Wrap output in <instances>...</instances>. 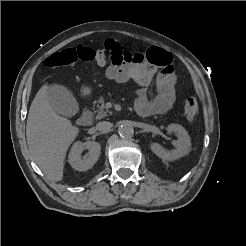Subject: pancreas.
Listing matches in <instances>:
<instances>
[{"instance_id": "pancreas-1", "label": "pancreas", "mask_w": 246, "mask_h": 246, "mask_svg": "<svg viewBox=\"0 0 246 246\" xmlns=\"http://www.w3.org/2000/svg\"><path fill=\"white\" fill-rule=\"evenodd\" d=\"M98 102L100 103V105L97 106L98 109L96 111L97 112L96 119L107 117L108 115L112 113L110 110L106 108L103 98H100Z\"/></svg>"}]
</instances>
